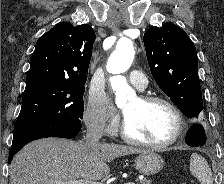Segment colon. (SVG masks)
I'll list each match as a JSON object with an SVG mask.
<instances>
[{"mask_svg": "<svg viewBox=\"0 0 224 184\" xmlns=\"http://www.w3.org/2000/svg\"><path fill=\"white\" fill-rule=\"evenodd\" d=\"M181 184H190V182L187 181V180H183V181L181 182Z\"/></svg>", "mask_w": 224, "mask_h": 184, "instance_id": "obj_1", "label": "colon"}]
</instances>
